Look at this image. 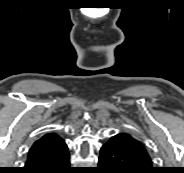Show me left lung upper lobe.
<instances>
[{
    "instance_id": "obj_1",
    "label": "left lung upper lobe",
    "mask_w": 184,
    "mask_h": 173,
    "mask_svg": "<svg viewBox=\"0 0 184 173\" xmlns=\"http://www.w3.org/2000/svg\"><path fill=\"white\" fill-rule=\"evenodd\" d=\"M127 146L145 166L156 169L152 166L151 157L141 141L127 134Z\"/></svg>"
}]
</instances>
